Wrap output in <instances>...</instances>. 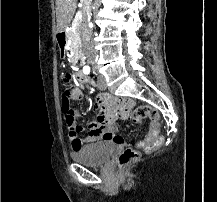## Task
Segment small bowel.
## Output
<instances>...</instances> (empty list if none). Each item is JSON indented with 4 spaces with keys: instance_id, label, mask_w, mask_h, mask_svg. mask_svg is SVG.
<instances>
[{
    "instance_id": "c3829d8e",
    "label": "small bowel",
    "mask_w": 217,
    "mask_h": 202,
    "mask_svg": "<svg viewBox=\"0 0 217 202\" xmlns=\"http://www.w3.org/2000/svg\"><path fill=\"white\" fill-rule=\"evenodd\" d=\"M69 96L72 100H81L83 97L82 90L75 85H68ZM110 94L98 93L95 96L93 110L96 112V119L88 124V136L85 141L88 143L96 142L101 139L110 140L118 144H123L122 136L113 132L111 125H106L112 121H121L127 118L129 113L133 112L135 105L133 101H108ZM73 115L81 116V113L75 112ZM141 123L142 121H135ZM160 131L158 122H149L148 129L142 140L135 143L136 147H144L146 144L155 139ZM80 132H85V127L74 126V131H69L68 141H81ZM71 147H82L81 142H71Z\"/></svg>"
}]
</instances>
